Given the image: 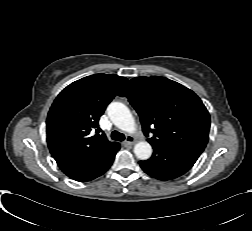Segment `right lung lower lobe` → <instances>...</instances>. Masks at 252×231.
<instances>
[{
    "mask_svg": "<svg viewBox=\"0 0 252 231\" xmlns=\"http://www.w3.org/2000/svg\"><path fill=\"white\" fill-rule=\"evenodd\" d=\"M112 162H111V164H112ZM111 164L105 169V171L103 173H105L109 169V167L111 166Z\"/></svg>",
    "mask_w": 252,
    "mask_h": 231,
    "instance_id": "obj_1",
    "label": "right lung lower lobe"
}]
</instances>
